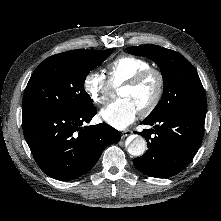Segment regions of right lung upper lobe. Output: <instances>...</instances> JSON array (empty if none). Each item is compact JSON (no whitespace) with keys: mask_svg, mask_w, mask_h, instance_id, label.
I'll list each match as a JSON object with an SVG mask.
<instances>
[{"mask_svg":"<svg viewBox=\"0 0 221 221\" xmlns=\"http://www.w3.org/2000/svg\"><path fill=\"white\" fill-rule=\"evenodd\" d=\"M85 50L79 49V50H72V51H68L67 53H81L84 52Z\"/></svg>","mask_w":221,"mask_h":221,"instance_id":"obj_1","label":"right lung upper lobe"}]
</instances>
